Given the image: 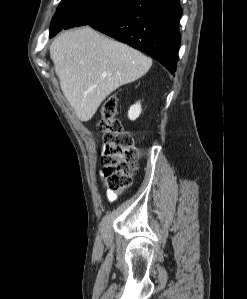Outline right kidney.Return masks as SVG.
<instances>
[{"instance_id": "right-kidney-1", "label": "right kidney", "mask_w": 247, "mask_h": 299, "mask_svg": "<svg viewBox=\"0 0 247 299\" xmlns=\"http://www.w3.org/2000/svg\"><path fill=\"white\" fill-rule=\"evenodd\" d=\"M142 108L140 102L132 105L128 111V118L132 121L136 120L141 114Z\"/></svg>"}]
</instances>
